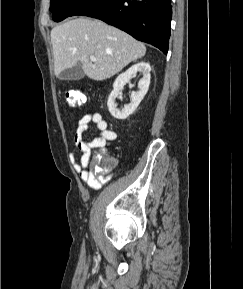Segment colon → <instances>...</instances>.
<instances>
[{"mask_svg": "<svg viewBox=\"0 0 243 289\" xmlns=\"http://www.w3.org/2000/svg\"><path fill=\"white\" fill-rule=\"evenodd\" d=\"M66 101L71 107L81 106L86 102L85 94L78 89H72L66 92ZM114 166V160L107 156L106 153L98 152L94 156L93 170L97 174L109 172Z\"/></svg>", "mask_w": 243, "mask_h": 289, "instance_id": "5ec220e1", "label": "colon"}]
</instances>
